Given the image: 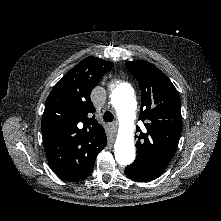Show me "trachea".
Listing matches in <instances>:
<instances>
[{
	"instance_id": "obj_1",
	"label": "trachea",
	"mask_w": 221,
	"mask_h": 221,
	"mask_svg": "<svg viewBox=\"0 0 221 221\" xmlns=\"http://www.w3.org/2000/svg\"><path fill=\"white\" fill-rule=\"evenodd\" d=\"M103 119L106 121V122H112L114 120V116L113 114L110 112V111H106L103 115Z\"/></svg>"
}]
</instances>
